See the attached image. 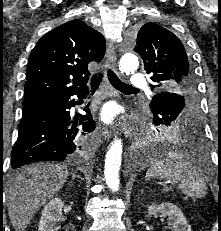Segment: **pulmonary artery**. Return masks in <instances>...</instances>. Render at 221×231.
Instances as JSON below:
<instances>
[{
    "mask_svg": "<svg viewBox=\"0 0 221 231\" xmlns=\"http://www.w3.org/2000/svg\"><path fill=\"white\" fill-rule=\"evenodd\" d=\"M131 87L137 88V87H146L147 80L145 77H143L140 74H135L132 79L130 80Z\"/></svg>",
    "mask_w": 221,
    "mask_h": 231,
    "instance_id": "e3ab8cb5",
    "label": "pulmonary artery"
}]
</instances>
